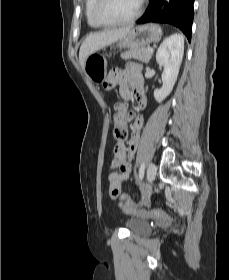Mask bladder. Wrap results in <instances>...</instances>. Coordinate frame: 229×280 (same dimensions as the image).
Listing matches in <instances>:
<instances>
[{
	"label": "bladder",
	"mask_w": 229,
	"mask_h": 280,
	"mask_svg": "<svg viewBox=\"0 0 229 280\" xmlns=\"http://www.w3.org/2000/svg\"><path fill=\"white\" fill-rule=\"evenodd\" d=\"M126 225L130 232L136 235L148 234L153 231L152 226L145 219H129L126 222Z\"/></svg>",
	"instance_id": "1"
}]
</instances>
